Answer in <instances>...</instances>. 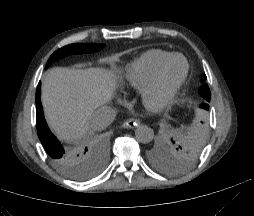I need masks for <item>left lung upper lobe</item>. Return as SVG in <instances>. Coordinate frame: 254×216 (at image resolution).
I'll use <instances>...</instances> for the list:
<instances>
[{
  "instance_id": "1",
  "label": "left lung upper lobe",
  "mask_w": 254,
  "mask_h": 216,
  "mask_svg": "<svg viewBox=\"0 0 254 216\" xmlns=\"http://www.w3.org/2000/svg\"><path fill=\"white\" fill-rule=\"evenodd\" d=\"M205 80L206 76L202 75L201 82L203 85L200 87L199 93L207 102H210L211 93L207 83H205ZM200 107L206 110L209 109V105L205 103L201 104ZM196 153L197 149H192L189 153L185 150V148L174 145L173 147H169L167 150L153 151L150 154V159L151 162L160 170L174 173L181 170L185 163L195 156Z\"/></svg>"
}]
</instances>
